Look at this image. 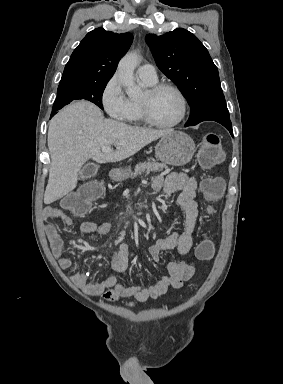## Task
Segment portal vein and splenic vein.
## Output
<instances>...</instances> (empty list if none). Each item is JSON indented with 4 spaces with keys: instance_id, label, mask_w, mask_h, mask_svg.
Wrapping results in <instances>:
<instances>
[{
    "instance_id": "18ae733b",
    "label": "portal vein and splenic vein",
    "mask_w": 283,
    "mask_h": 384,
    "mask_svg": "<svg viewBox=\"0 0 283 384\" xmlns=\"http://www.w3.org/2000/svg\"><path fill=\"white\" fill-rule=\"evenodd\" d=\"M114 146H120V144H114ZM102 152H111L110 148H107V146H103Z\"/></svg>"
}]
</instances>
